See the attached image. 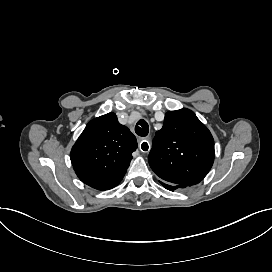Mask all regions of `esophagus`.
Returning a JSON list of instances; mask_svg holds the SVG:
<instances>
[{
    "instance_id": "esophagus-1",
    "label": "esophagus",
    "mask_w": 272,
    "mask_h": 272,
    "mask_svg": "<svg viewBox=\"0 0 272 272\" xmlns=\"http://www.w3.org/2000/svg\"><path fill=\"white\" fill-rule=\"evenodd\" d=\"M150 142L148 140H142L139 143V148L141 150V152L147 153L150 151Z\"/></svg>"
}]
</instances>
